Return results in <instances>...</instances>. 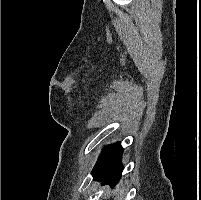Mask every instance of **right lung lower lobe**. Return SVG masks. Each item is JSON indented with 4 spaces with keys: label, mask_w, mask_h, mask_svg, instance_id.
I'll return each instance as SVG.
<instances>
[{
    "label": "right lung lower lobe",
    "mask_w": 201,
    "mask_h": 200,
    "mask_svg": "<svg viewBox=\"0 0 201 200\" xmlns=\"http://www.w3.org/2000/svg\"><path fill=\"white\" fill-rule=\"evenodd\" d=\"M123 151L120 142L107 145L102 150L92 170V174L102 185L109 184L114 187L119 182L123 171L121 163Z\"/></svg>",
    "instance_id": "right-lung-lower-lobe-1"
}]
</instances>
